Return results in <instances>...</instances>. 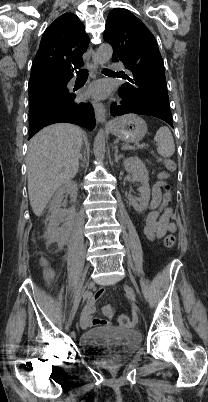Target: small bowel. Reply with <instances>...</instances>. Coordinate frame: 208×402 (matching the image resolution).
Here are the masks:
<instances>
[{
	"instance_id": "c3829d8e",
	"label": "small bowel",
	"mask_w": 208,
	"mask_h": 402,
	"mask_svg": "<svg viewBox=\"0 0 208 402\" xmlns=\"http://www.w3.org/2000/svg\"><path fill=\"white\" fill-rule=\"evenodd\" d=\"M170 173L166 171H161L157 175V180L153 186V198L151 202V209L144 216L143 231L149 240H155L162 238L168 232L175 231V225L171 222V210L165 209L160 211L157 209L161 199H162V188L166 184L167 180L170 179ZM94 301H101L103 298V291L101 289H96L92 295ZM94 302L89 301L83 311V319L79 327L81 330H88L90 324L105 325L113 317V310L110 306H105L103 309L104 318L96 319L93 317ZM63 328L65 330H70L72 328V323L70 321H65L63 323Z\"/></svg>"
}]
</instances>
